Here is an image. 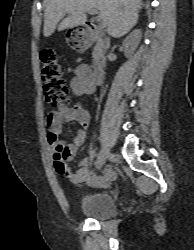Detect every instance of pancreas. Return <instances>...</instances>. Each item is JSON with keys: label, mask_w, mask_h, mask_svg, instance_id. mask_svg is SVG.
Masks as SVG:
<instances>
[{"label": "pancreas", "mask_w": 194, "mask_h": 250, "mask_svg": "<svg viewBox=\"0 0 194 250\" xmlns=\"http://www.w3.org/2000/svg\"><path fill=\"white\" fill-rule=\"evenodd\" d=\"M102 47H103V46H102V42H101V41H98V42L96 43V46H95L94 49H93V53H92L93 59H97V58H98L99 53H100Z\"/></svg>", "instance_id": "1"}]
</instances>
